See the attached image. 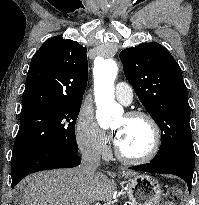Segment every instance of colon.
<instances>
[{
	"label": "colon",
	"instance_id": "1",
	"mask_svg": "<svg viewBox=\"0 0 199 205\" xmlns=\"http://www.w3.org/2000/svg\"><path fill=\"white\" fill-rule=\"evenodd\" d=\"M181 197V189L179 187H172L169 189L167 195L163 198L161 205H178Z\"/></svg>",
	"mask_w": 199,
	"mask_h": 205
}]
</instances>
